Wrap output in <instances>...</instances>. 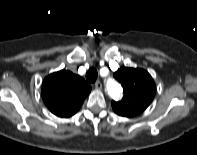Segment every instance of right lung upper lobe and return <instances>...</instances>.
Returning a JSON list of instances; mask_svg holds the SVG:
<instances>
[{
	"label": "right lung upper lobe",
	"mask_w": 197,
	"mask_h": 155,
	"mask_svg": "<svg viewBox=\"0 0 197 155\" xmlns=\"http://www.w3.org/2000/svg\"><path fill=\"white\" fill-rule=\"evenodd\" d=\"M90 91V85L82 77L66 70L48 75L42 83L43 101L58 117L74 115Z\"/></svg>",
	"instance_id": "cb5924a9"
}]
</instances>
